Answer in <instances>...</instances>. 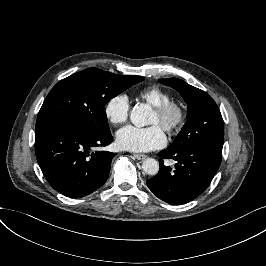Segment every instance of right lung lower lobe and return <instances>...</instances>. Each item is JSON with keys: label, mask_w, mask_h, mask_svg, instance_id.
Wrapping results in <instances>:
<instances>
[{"label": "right lung lower lobe", "mask_w": 266, "mask_h": 266, "mask_svg": "<svg viewBox=\"0 0 266 266\" xmlns=\"http://www.w3.org/2000/svg\"><path fill=\"white\" fill-rule=\"evenodd\" d=\"M111 132L97 134L67 122H56L35 131V152L49 184L59 193L84 197L108 178L113 153L95 151L112 142Z\"/></svg>", "instance_id": "98d812e1"}]
</instances>
